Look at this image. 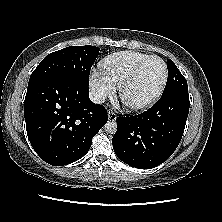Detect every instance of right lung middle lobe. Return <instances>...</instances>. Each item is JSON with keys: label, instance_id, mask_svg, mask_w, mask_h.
<instances>
[{"label": "right lung middle lobe", "instance_id": "dd1d6c3e", "mask_svg": "<svg viewBox=\"0 0 222 222\" xmlns=\"http://www.w3.org/2000/svg\"><path fill=\"white\" fill-rule=\"evenodd\" d=\"M95 46H70L47 55L31 74L28 86L49 78L89 84L90 69L99 54Z\"/></svg>", "mask_w": 222, "mask_h": 222}]
</instances>
